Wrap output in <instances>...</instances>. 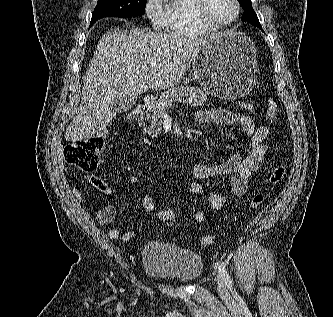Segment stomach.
Masks as SVG:
<instances>
[{
	"label": "stomach",
	"instance_id": "stomach-1",
	"mask_svg": "<svg viewBox=\"0 0 333 317\" xmlns=\"http://www.w3.org/2000/svg\"><path fill=\"white\" fill-rule=\"evenodd\" d=\"M192 67L195 79L206 93L221 99H238L256 83V48L242 32L220 33L202 46Z\"/></svg>",
	"mask_w": 333,
	"mask_h": 317
}]
</instances>
